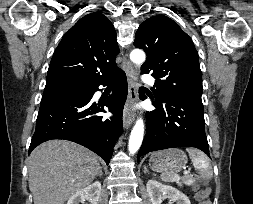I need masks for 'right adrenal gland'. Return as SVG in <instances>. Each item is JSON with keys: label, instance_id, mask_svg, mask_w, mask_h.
<instances>
[{"label": "right adrenal gland", "instance_id": "obj_1", "mask_svg": "<svg viewBox=\"0 0 253 204\" xmlns=\"http://www.w3.org/2000/svg\"><path fill=\"white\" fill-rule=\"evenodd\" d=\"M102 175H103V172H102V168L100 167V170H99L98 176H102Z\"/></svg>", "mask_w": 253, "mask_h": 204}]
</instances>
